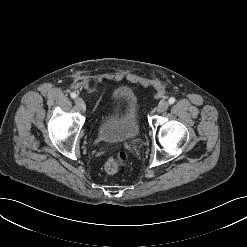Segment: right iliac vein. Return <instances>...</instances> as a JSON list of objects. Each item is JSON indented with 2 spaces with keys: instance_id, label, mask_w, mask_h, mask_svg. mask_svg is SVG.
<instances>
[{
  "instance_id": "right-iliac-vein-1",
  "label": "right iliac vein",
  "mask_w": 247,
  "mask_h": 247,
  "mask_svg": "<svg viewBox=\"0 0 247 247\" xmlns=\"http://www.w3.org/2000/svg\"><path fill=\"white\" fill-rule=\"evenodd\" d=\"M75 103H76V105L79 107V109L81 111H85L86 110V105H85V102L83 101L82 98H76L75 99Z\"/></svg>"
}]
</instances>
